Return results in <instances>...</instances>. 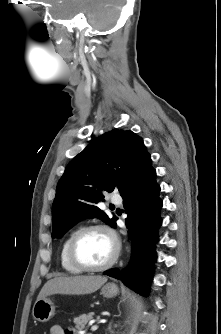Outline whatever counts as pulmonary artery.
I'll return each instance as SVG.
<instances>
[{"label": "pulmonary artery", "mask_w": 221, "mask_h": 334, "mask_svg": "<svg viewBox=\"0 0 221 334\" xmlns=\"http://www.w3.org/2000/svg\"><path fill=\"white\" fill-rule=\"evenodd\" d=\"M110 201L115 203V204H120L121 203V199L119 197H111Z\"/></svg>", "instance_id": "e3ab8cb5"}]
</instances>
